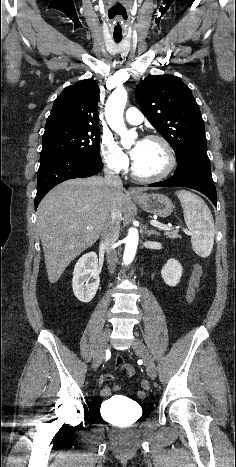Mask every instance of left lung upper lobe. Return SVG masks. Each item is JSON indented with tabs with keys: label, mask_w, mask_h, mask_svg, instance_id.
<instances>
[{
	"label": "left lung upper lobe",
	"mask_w": 236,
	"mask_h": 467,
	"mask_svg": "<svg viewBox=\"0 0 236 467\" xmlns=\"http://www.w3.org/2000/svg\"><path fill=\"white\" fill-rule=\"evenodd\" d=\"M135 96L149 122L172 146L177 162L192 150L206 148L199 106L180 78L149 76L137 85Z\"/></svg>",
	"instance_id": "left-lung-upper-lobe-1"
}]
</instances>
